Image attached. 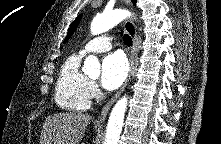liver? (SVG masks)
<instances>
[{
    "label": "liver",
    "mask_w": 221,
    "mask_h": 144,
    "mask_svg": "<svg viewBox=\"0 0 221 144\" xmlns=\"http://www.w3.org/2000/svg\"><path fill=\"white\" fill-rule=\"evenodd\" d=\"M91 121L88 114L63 112L46 117L40 144H79Z\"/></svg>",
    "instance_id": "1"
}]
</instances>
